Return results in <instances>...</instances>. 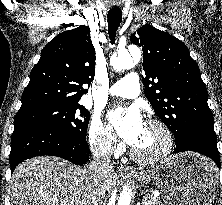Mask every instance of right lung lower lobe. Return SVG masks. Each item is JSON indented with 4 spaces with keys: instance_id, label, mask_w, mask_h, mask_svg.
I'll list each match as a JSON object with an SVG mask.
<instances>
[{
    "instance_id": "98d812e1",
    "label": "right lung lower lobe",
    "mask_w": 222,
    "mask_h": 205,
    "mask_svg": "<svg viewBox=\"0 0 222 205\" xmlns=\"http://www.w3.org/2000/svg\"><path fill=\"white\" fill-rule=\"evenodd\" d=\"M89 154L86 138L40 123L14 124L9 156L11 172L19 163L35 156H58L82 165L88 161Z\"/></svg>"
}]
</instances>
